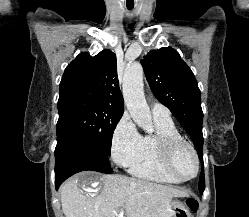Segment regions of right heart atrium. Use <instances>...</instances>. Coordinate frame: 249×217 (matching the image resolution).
<instances>
[{
	"instance_id": "right-heart-atrium-1",
	"label": "right heart atrium",
	"mask_w": 249,
	"mask_h": 217,
	"mask_svg": "<svg viewBox=\"0 0 249 217\" xmlns=\"http://www.w3.org/2000/svg\"><path fill=\"white\" fill-rule=\"evenodd\" d=\"M141 135L131 118L124 114L114 127L111 137V155L119 167H128L138 152Z\"/></svg>"
}]
</instances>
